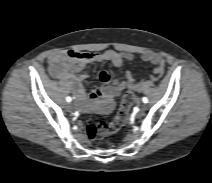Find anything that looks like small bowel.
<instances>
[{
	"mask_svg": "<svg viewBox=\"0 0 212 183\" xmlns=\"http://www.w3.org/2000/svg\"><path fill=\"white\" fill-rule=\"evenodd\" d=\"M134 56L129 52H116L106 50L101 53L79 52L66 50L55 52L48 58L50 72L53 77L69 84L78 100V107L82 110L87 108L86 91L82 86V81L87 78L85 74H80L82 69L90 63L110 62L115 67L122 66L124 61H132ZM141 59L155 65L154 72L162 74L164 71V61L160 54L155 52H145ZM101 84L92 89L89 97L92 101L100 98H112L124 91V89L140 90L142 85L138 83L131 72H127L125 80L112 78L107 72L100 73Z\"/></svg>",
	"mask_w": 212,
	"mask_h": 183,
	"instance_id": "c3829d8e",
	"label": "small bowel"
}]
</instances>
